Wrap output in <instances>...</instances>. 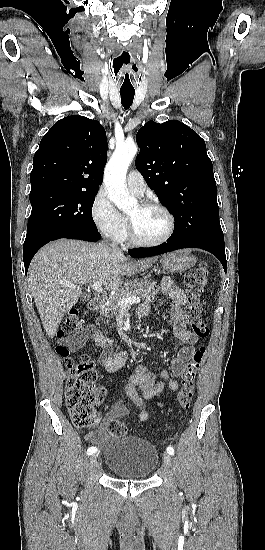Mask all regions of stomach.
<instances>
[{"mask_svg": "<svg viewBox=\"0 0 265 550\" xmlns=\"http://www.w3.org/2000/svg\"><path fill=\"white\" fill-rule=\"evenodd\" d=\"M161 266L165 272H182L191 268L196 263V258L188 252L180 250L164 255Z\"/></svg>", "mask_w": 265, "mask_h": 550, "instance_id": "obj_1", "label": "stomach"}]
</instances>
